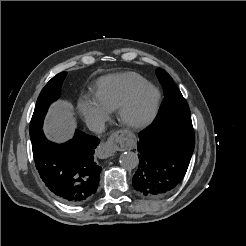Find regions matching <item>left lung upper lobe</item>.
<instances>
[{"mask_svg": "<svg viewBox=\"0 0 246 246\" xmlns=\"http://www.w3.org/2000/svg\"><path fill=\"white\" fill-rule=\"evenodd\" d=\"M156 75L163 86L164 101L154 122L191 121V113L187 102L171 76L161 68L156 70Z\"/></svg>", "mask_w": 246, "mask_h": 246, "instance_id": "1", "label": "left lung upper lobe"}]
</instances>
